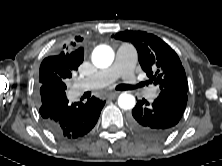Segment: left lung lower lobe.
Segmentation results:
<instances>
[{"mask_svg":"<svg viewBox=\"0 0 222 166\" xmlns=\"http://www.w3.org/2000/svg\"><path fill=\"white\" fill-rule=\"evenodd\" d=\"M187 91L161 90L152 104L139 100L132 110L130 125L138 134L160 139L168 136L180 121L187 104Z\"/></svg>","mask_w":222,"mask_h":166,"instance_id":"1","label":"left lung lower lobe"}]
</instances>
